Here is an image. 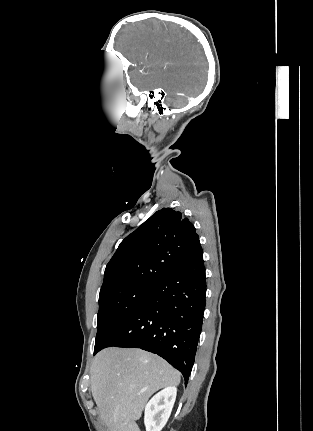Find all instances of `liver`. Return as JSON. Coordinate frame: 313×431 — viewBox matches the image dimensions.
Instances as JSON below:
<instances>
[{
    "mask_svg": "<svg viewBox=\"0 0 313 431\" xmlns=\"http://www.w3.org/2000/svg\"><path fill=\"white\" fill-rule=\"evenodd\" d=\"M91 391L109 431H140L148 399L161 388L178 386L180 373L157 355L135 348H106L90 368Z\"/></svg>",
    "mask_w": 313,
    "mask_h": 431,
    "instance_id": "1",
    "label": "liver"
}]
</instances>
